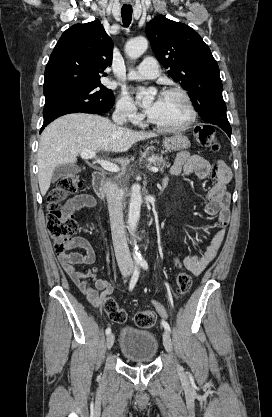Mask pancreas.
<instances>
[{
  "instance_id": "obj_1",
  "label": "pancreas",
  "mask_w": 272,
  "mask_h": 417,
  "mask_svg": "<svg viewBox=\"0 0 272 417\" xmlns=\"http://www.w3.org/2000/svg\"><path fill=\"white\" fill-rule=\"evenodd\" d=\"M150 163L157 165L161 172H163L166 168L170 166V164L166 161V158H163L158 155H152L149 157Z\"/></svg>"
}]
</instances>
